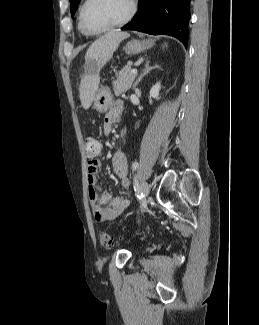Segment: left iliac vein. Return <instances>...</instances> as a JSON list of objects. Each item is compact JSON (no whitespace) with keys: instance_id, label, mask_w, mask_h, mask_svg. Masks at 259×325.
Wrapping results in <instances>:
<instances>
[{"instance_id":"1","label":"left iliac vein","mask_w":259,"mask_h":325,"mask_svg":"<svg viewBox=\"0 0 259 325\" xmlns=\"http://www.w3.org/2000/svg\"><path fill=\"white\" fill-rule=\"evenodd\" d=\"M150 185L147 182H142L141 184V193L144 199L149 195Z\"/></svg>"}]
</instances>
